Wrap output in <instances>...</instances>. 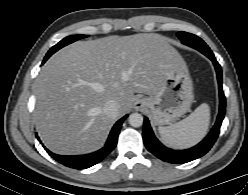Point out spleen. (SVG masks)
<instances>
[{
    "label": "spleen",
    "instance_id": "spleen-1",
    "mask_svg": "<svg viewBox=\"0 0 248 195\" xmlns=\"http://www.w3.org/2000/svg\"><path fill=\"white\" fill-rule=\"evenodd\" d=\"M210 123L208 104L198 106L185 119L170 126H160L159 134L164 144L173 148H186L198 143L207 133Z\"/></svg>",
    "mask_w": 248,
    "mask_h": 195
}]
</instances>
